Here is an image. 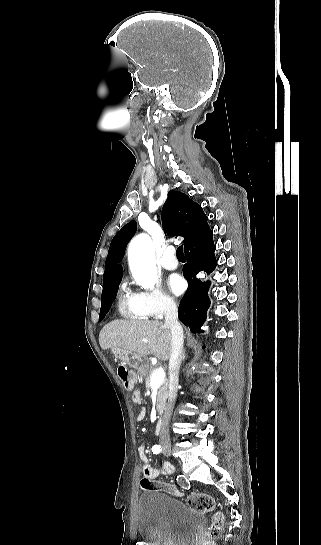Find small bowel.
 Wrapping results in <instances>:
<instances>
[{"label":"small bowel","instance_id":"1","mask_svg":"<svg viewBox=\"0 0 321 545\" xmlns=\"http://www.w3.org/2000/svg\"><path fill=\"white\" fill-rule=\"evenodd\" d=\"M132 400L135 403L141 402V393L138 390L133 391L132 393ZM145 416V410H141L140 413L137 416V420L141 421ZM139 459L141 462L142 472L145 475L146 478L149 479H156L159 476L162 475H169L173 472L174 468L171 464H164L162 467L159 468H153L146 455V448L144 445H141L139 447Z\"/></svg>","mask_w":321,"mask_h":545}]
</instances>
